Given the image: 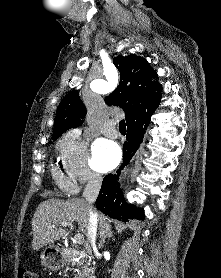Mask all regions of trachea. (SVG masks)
<instances>
[{"label": "trachea", "mask_w": 221, "mask_h": 278, "mask_svg": "<svg viewBox=\"0 0 221 278\" xmlns=\"http://www.w3.org/2000/svg\"><path fill=\"white\" fill-rule=\"evenodd\" d=\"M119 130L120 131H126V124H125V121L124 120H121L119 122Z\"/></svg>", "instance_id": "obj_1"}]
</instances>
